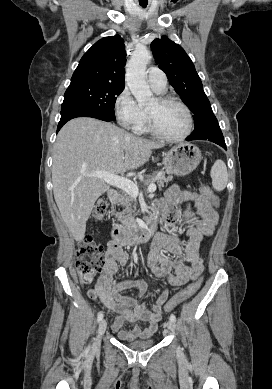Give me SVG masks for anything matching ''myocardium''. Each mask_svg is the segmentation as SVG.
<instances>
[{
	"label": "myocardium",
	"instance_id": "1",
	"mask_svg": "<svg viewBox=\"0 0 272 389\" xmlns=\"http://www.w3.org/2000/svg\"><path fill=\"white\" fill-rule=\"evenodd\" d=\"M157 101L161 105L175 104V105L180 106L184 110V112L186 113V116L188 119V125H187L186 131L183 134H181L179 136H175V137L168 136V135L164 134L163 132H161V130L159 129V127L157 125V122H156L154 116L150 112H148L147 116H148L150 131L152 132V134L155 135L156 137H158L159 139H162V140L167 141V142H179V141H183L186 138H188L191 135L193 128H194V119H193V115H192L190 108L184 102L180 101L177 98L170 97V96H161L157 99Z\"/></svg>",
	"mask_w": 272,
	"mask_h": 389
}]
</instances>
